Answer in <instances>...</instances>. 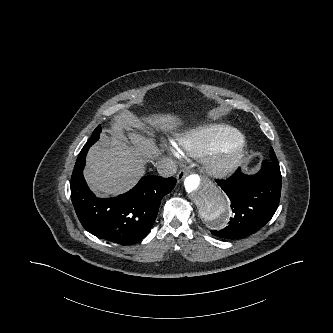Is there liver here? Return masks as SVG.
Returning <instances> with one entry per match:
<instances>
[{
	"instance_id": "liver-1",
	"label": "liver",
	"mask_w": 333,
	"mask_h": 333,
	"mask_svg": "<svg viewBox=\"0 0 333 333\" xmlns=\"http://www.w3.org/2000/svg\"><path fill=\"white\" fill-rule=\"evenodd\" d=\"M181 120L173 114L118 119L110 130L101 134L87 155L84 177L98 196H116L130 190L145 172V159L153 158L157 148L144 128L172 129ZM147 124L150 127H145ZM151 129V128H150ZM148 135V136H146Z\"/></svg>"
}]
</instances>
